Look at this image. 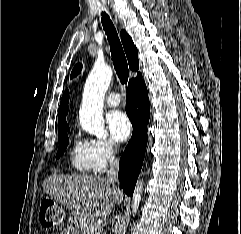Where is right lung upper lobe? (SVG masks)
I'll return each instance as SVG.
<instances>
[{
    "label": "right lung upper lobe",
    "instance_id": "1",
    "mask_svg": "<svg viewBox=\"0 0 241 234\" xmlns=\"http://www.w3.org/2000/svg\"><path fill=\"white\" fill-rule=\"evenodd\" d=\"M121 41L124 46V50L128 59L129 67L132 71H138L139 61H138V51L134 45L131 37L126 33L125 30L121 31ZM82 65L77 64L71 73V78L77 76L81 71ZM138 75L140 73L138 72ZM68 102H69V92L66 90L62 96L61 103L58 110V131L69 127L66 123V115L68 113Z\"/></svg>",
    "mask_w": 241,
    "mask_h": 234
}]
</instances>
